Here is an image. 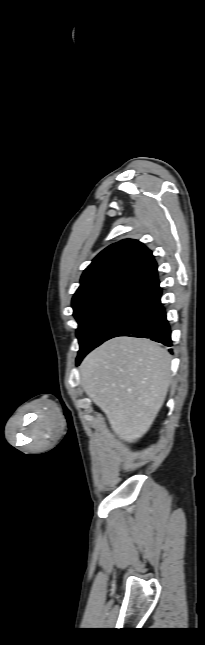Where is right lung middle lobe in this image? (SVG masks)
I'll use <instances>...</instances> for the list:
<instances>
[{
	"mask_svg": "<svg viewBox=\"0 0 205 645\" xmlns=\"http://www.w3.org/2000/svg\"><path fill=\"white\" fill-rule=\"evenodd\" d=\"M149 295V290L125 287L73 304L80 344L77 360L103 343L117 326L144 305Z\"/></svg>",
	"mask_w": 205,
	"mask_h": 645,
	"instance_id": "obj_1",
	"label": "right lung middle lobe"
}]
</instances>
